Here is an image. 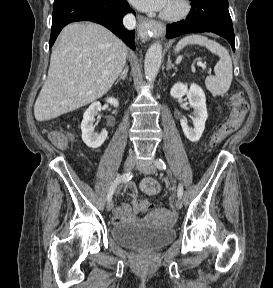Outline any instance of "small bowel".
Instances as JSON below:
<instances>
[{
    "label": "small bowel",
    "instance_id": "small-bowel-1",
    "mask_svg": "<svg viewBox=\"0 0 273 288\" xmlns=\"http://www.w3.org/2000/svg\"><path fill=\"white\" fill-rule=\"evenodd\" d=\"M140 190L148 195H154L159 192L160 185L153 178H145L140 184ZM126 192L132 199V206L126 203L118 205L113 212V221L115 223L135 222L141 212L137 206L136 186L133 183H129L126 186Z\"/></svg>",
    "mask_w": 273,
    "mask_h": 288
}]
</instances>
